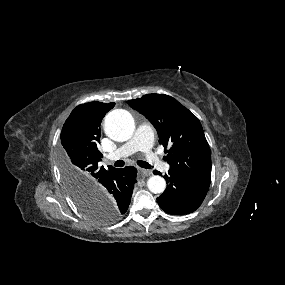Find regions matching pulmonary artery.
Masks as SVG:
<instances>
[{
    "mask_svg": "<svg viewBox=\"0 0 285 285\" xmlns=\"http://www.w3.org/2000/svg\"><path fill=\"white\" fill-rule=\"evenodd\" d=\"M153 141L154 132L152 127L147 123H141L138 125L133 137L115 151L109 153L106 158L108 160H115L130 156L137 151H142L145 153L150 164L161 172L167 173L170 169V165L162 161L161 158L152 151Z\"/></svg>",
    "mask_w": 285,
    "mask_h": 285,
    "instance_id": "obj_1",
    "label": "pulmonary artery"
}]
</instances>
